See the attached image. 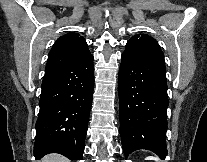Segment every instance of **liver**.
I'll return each instance as SVG.
<instances>
[{
    "label": "liver",
    "instance_id": "1",
    "mask_svg": "<svg viewBox=\"0 0 207 162\" xmlns=\"http://www.w3.org/2000/svg\"><path fill=\"white\" fill-rule=\"evenodd\" d=\"M40 162H70V161L62 155L53 153V154L46 155Z\"/></svg>",
    "mask_w": 207,
    "mask_h": 162
}]
</instances>
